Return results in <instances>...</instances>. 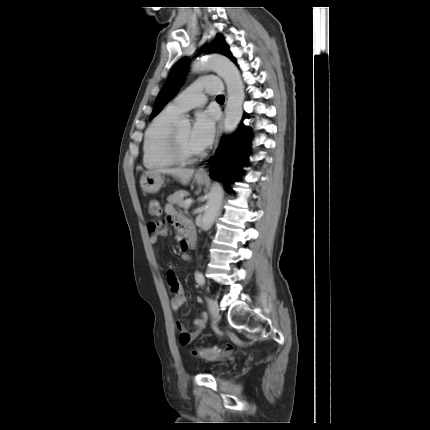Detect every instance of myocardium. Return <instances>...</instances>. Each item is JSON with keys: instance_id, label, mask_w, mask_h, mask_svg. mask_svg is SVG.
<instances>
[{"instance_id": "myocardium-1", "label": "myocardium", "mask_w": 430, "mask_h": 430, "mask_svg": "<svg viewBox=\"0 0 430 430\" xmlns=\"http://www.w3.org/2000/svg\"><path fill=\"white\" fill-rule=\"evenodd\" d=\"M178 127L175 126L172 131L169 134L168 141H167V150L169 153V156L176 164H189L197 161L201 153L198 152L196 154H187L179 141L178 136Z\"/></svg>"}]
</instances>
